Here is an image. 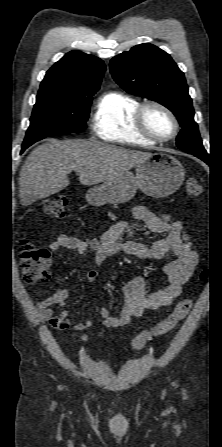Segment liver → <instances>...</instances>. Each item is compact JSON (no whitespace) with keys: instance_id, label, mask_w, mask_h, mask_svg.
Masks as SVG:
<instances>
[{"instance_id":"liver-1","label":"liver","mask_w":222,"mask_h":447,"mask_svg":"<svg viewBox=\"0 0 222 447\" xmlns=\"http://www.w3.org/2000/svg\"><path fill=\"white\" fill-rule=\"evenodd\" d=\"M151 153L135 151L86 140L50 139L36 147L20 171L19 197L22 205L28 198L42 199L69 185L67 175L79 173L83 185H94L130 170Z\"/></svg>"}]
</instances>
